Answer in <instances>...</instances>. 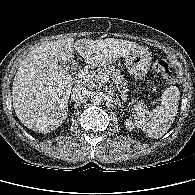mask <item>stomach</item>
Masks as SVG:
<instances>
[{
  "instance_id": "obj_1",
  "label": "stomach",
  "mask_w": 195,
  "mask_h": 195,
  "mask_svg": "<svg viewBox=\"0 0 195 195\" xmlns=\"http://www.w3.org/2000/svg\"><path fill=\"white\" fill-rule=\"evenodd\" d=\"M125 65L130 75L143 79L150 69L151 54L146 48L139 46L126 54Z\"/></svg>"
}]
</instances>
